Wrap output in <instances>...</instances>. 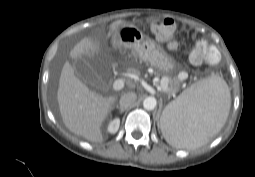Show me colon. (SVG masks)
Instances as JSON below:
<instances>
[{"label": "colon", "mask_w": 255, "mask_h": 177, "mask_svg": "<svg viewBox=\"0 0 255 177\" xmlns=\"http://www.w3.org/2000/svg\"><path fill=\"white\" fill-rule=\"evenodd\" d=\"M175 23L172 19H154L151 22V30L158 40L168 42L170 48L175 47L173 40ZM189 59L191 63L200 65L205 62L215 63L218 59V51L205 40H199L192 48Z\"/></svg>", "instance_id": "1"}]
</instances>
